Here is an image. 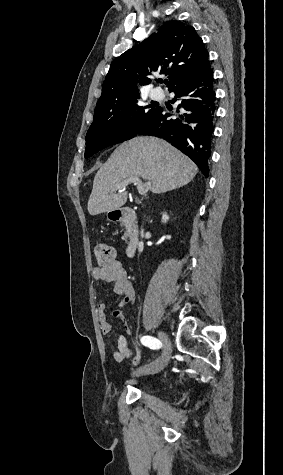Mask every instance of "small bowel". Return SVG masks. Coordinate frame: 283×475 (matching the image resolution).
Returning a JSON list of instances; mask_svg holds the SVG:
<instances>
[{
  "mask_svg": "<svg viewBox=\"0 0 283 475\" xmlns=\"http://www.w3.org/2000/svg\"><path fill=\"white\" fill-rule=\"evenodd\" d=\"M91 276L101 282L111 283L113 291L120 297L119 307L134 302L135 293L128 278V274L123 264L114 260L113 262L104 266H94L91 269ZM114 316L111 319V323L108 321L106 313V305L99 303L97 305V317L100 326L101 333L108 335L112 331V326H120L122 324L123 314L120 310L114 311ZM112 356L117 363L132 358L133 365L137 367L141 361V352L137 349L136 354L133 355L131 348L128 345L127 338L119 333L116 337V348L112 351Z\"/></svg>",
  "mask_w": 283,
  "mask_h": 475,
  "instance_id": "c3829d8e",
  "label": "small bowel"
}]
</instances>
